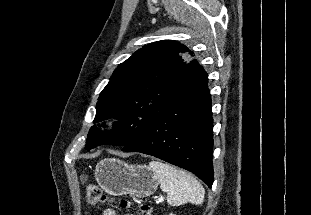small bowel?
I'll list each match as a JSON object with an SVG mask.
<instances>
[{
    "label": "small bowel",
    "mask_w": 311,
    "mask_h": 215,
    "mask_svg": "<svg viewBox=\"0 0 311 215\" xmlns=\"http://www.w3.org/2000/svg\"><path fill=\"white\" fill-rule=\"evenodd\" d=\"M102 215H117V213L114 209L107 208L103 211ZM126 215H132V214H126Z\"/></svg>",
    "instance_id": "obj_1"
}]
</instances>
